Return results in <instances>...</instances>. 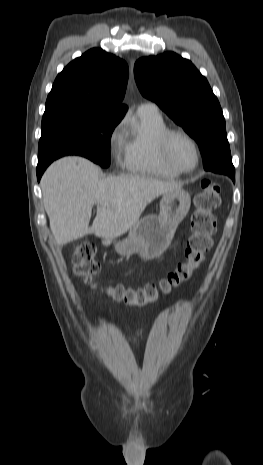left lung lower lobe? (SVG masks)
Instances as JSON below:
<instances>
[{"label": "left lung lower lobe", "instance_id": "left-lung-lower-lobe-1", "mask_svg": "<svg viewBox=\"0 0 263 465\" xmlns=\"http://www.w3.org/2000/svg\"><path fill=\"white\" fill-rule=\"evenodd\" d=\"M215 161L213 159L204 158V168L205 170L211 171L214 168Z\"/></svg>", "mask_w": 263, "mask_h": 465}]
</instances>
